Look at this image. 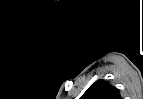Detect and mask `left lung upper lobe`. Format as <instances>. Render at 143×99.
<instances>
[{
  "mask_svg": "<svg viewBox=\"0 0 143 99\" xmlns=\"http://www.w3.org/2000/svg\"><path fill=\"white\" fill-rule=\"evenodd\" d=\"M80 99H121L120 91L107 80L94 82Z\"/></svg>",
  "mask_w": 143,
  "mask_h": 99,
  "instance_id": "left-lung-upper-lobe-1",
  "label": "left lung upper lobe"
}]
</instances>
